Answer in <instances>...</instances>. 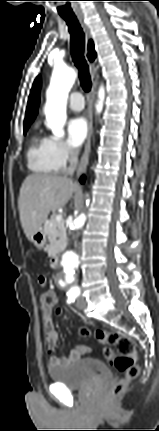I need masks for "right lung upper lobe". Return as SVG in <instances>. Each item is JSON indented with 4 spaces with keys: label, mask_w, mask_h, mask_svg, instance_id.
I'll use <instances>...</instances> for the list:
<instances>
[{
    "label": "right lung upper lobe",
    "mask_w": 159,
    "mask_h": 431,
    "mask_svg": "<svg viewBox=\"0 0 159 431\" xmlns=\"http://www.w3.org/2000/svg\"><path fill=\"white\" fill-rule=\"evenodd\" d=\"M95 57H96V53L93 48V43L92 41H89L88 58L90 61H93ZM40 87H41V80H40V76H38L33 83L32 89L30 91V96L28 98V106L26 108L24 126H30V124L33 122V120L36 117V114L38 111V105H39Z\"/></svg>",
    "instance_id": "cb5924a9"
}]
</instances>
